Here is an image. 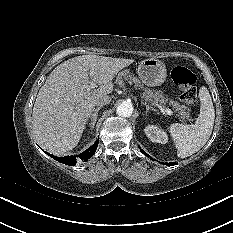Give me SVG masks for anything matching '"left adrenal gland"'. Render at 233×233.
<instances>
[{
    "label": "left adrenal gland",
    "mask_w": 233,
    "mask_h": 233,
    "mask_svg": "<svg viewBox=\"0 0 233 233\" xmlns=\"http://www.w3.org/2000/svg\"><path fill=\"white\" fill-rule=\"evenodd\" d=\"M141 103H142L143 105H145V107H146V113H148L149 110L154 111V112H157V109H155V108L149 106L147 103H144V102H141Z\"/></svg>",
    "instance_id": "a2214340"
}]
</instances>
